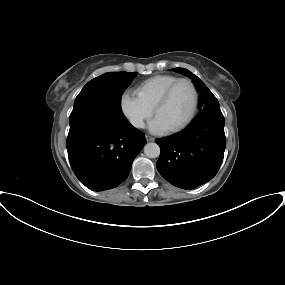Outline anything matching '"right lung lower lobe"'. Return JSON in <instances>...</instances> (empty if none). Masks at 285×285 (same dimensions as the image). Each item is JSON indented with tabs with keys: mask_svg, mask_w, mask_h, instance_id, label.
Returning <instances> with one entry per match:
<instances>
[{
	"mask_svg": "<svg viewBox=\"0 0 285 285\" xmlns=\"http://www.w3.org/2000/svg\"><path fill=\"white\" fill-rule=\"evenodd\" d=\"M146 144L142 132L126 119L89 114L70 123L67 151L76 177L96 191L117 187Z\"/></svg>",
	"mask_w": 285,
	"mask_h": 285,
	"instance_id": "right-lung-lower-lobe-1",
	"label": "right lung lower lobe"
}]
</instances>
